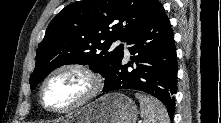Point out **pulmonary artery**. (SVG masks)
Here are the masks:
<instances>
[{
  "instance_id": "obj_1",
  "label": "pulmonary artery",
  "mask_w": 221,
  "mask_h": 123,
  "mask_svg": "<svg viewBox=\"0 0 221 123\" xmlns=\"http://www.w3.org/2000/svg\"><path fill=\"white\" fill-rule=\"evenodd\" d=\"M120 42H116V45H119ZM124 52L128 55L129 54V51L127 49V46L124 44Z\"/></svg>"
}]
</instances>
